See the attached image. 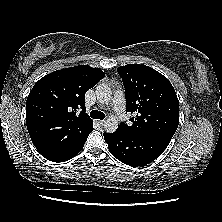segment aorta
<instances>
[{"instance_id":"762f6f07","label":"aorta","mask_w":222,"mask_h":222,"mask_svg":"<svg viewBox=\"0 0 222 222\" xmlns=\"http://www.w3.org/2000/svg\"><path fill=\"white\" fill-rule=\"evenodd\" d=\"M97 100L100 103H108L112 98V91L110 87L106 84H100L95 90ZM118 128V120L114 115H110L104 121V129L107 133H113Z\"/></svg>"}]
</instances>
